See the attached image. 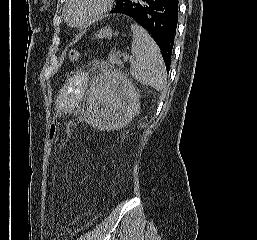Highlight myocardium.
<instances>
[{
	"label": "myocardium",
	"instance_id": "1",
	"mask_svg": "<svg viewBox=\"0 0 257 240\" xmlns=\"http://www.w3.org/2000/svg\"><path fill=\"white\" fill-rule=\"evenodd\" d=\"M73 1L74 0L66 1V4L64 6V15H65V18H66L68 24L75 28H85V27L91 25L92 23L96 22L97 20H99L101 17H103V15L105 13H107L109 11V9L111 8L112 2H113V0H102L101 6L93 15H91L88 19H86L85 21H83L81 23H74L71 21L70 15H69V7Z\"/></svg>",
	"mask_w": 257,
	"mask_h": 240
}]
</instances>
